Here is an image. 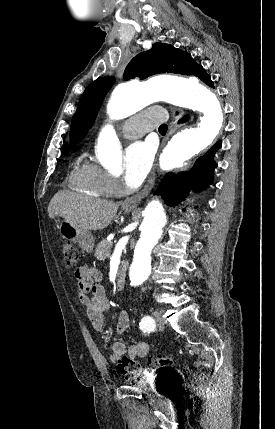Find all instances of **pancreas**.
<instances>
[{
	"instance_id": "1",
	"label": "pancreas",
	"mask_w": 275,
	"mask_h": 429,
	"mask_svg": "<svg viewBox=\"0 0 275 429\" xmlns=\"http://www.w3.org/2000/svg\"><path fill=\"white\" fill-rule=\"evenodd\" d=\"M113 247V243L107 240H102L95 250V256L98 260L104 261L105 259L110 258L111 249Z\"/></svg>"
}]
</instances>
